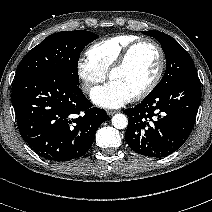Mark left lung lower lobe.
I'll use <instances>...</instances> for the list:
<instances>
[{"instance_id":"left-lung-lower-lobe-1","label":"left lung lower lobe","mask_w":212,"mask_h":212,"mask_svg":"<svg viewBox=\"0 0 212 212\" xmlns=\"http://www.w3.org/2000/svg\"><path fill=\"white\" fill-rule=\"evenodd\" d=\"M201 100L197 74L152 91L134 108L125 109V139L138 154L161 158L175 152L190 135Z\"/></svg>"}]
</instances>
